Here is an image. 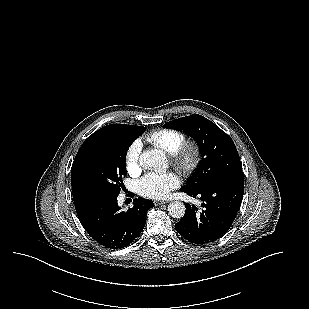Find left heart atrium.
<instances>
[{
	"mask_svg": "<svg viewBox=\"0 0 309 309\" xmlns=\"http://www.w3.org/2000/svg\"><path fill=\"white\" fill-rule=\"evenodd\" d=\"M180 185V178L174 172H150L138 182V192L147 198L162 199Z\"/></svg>",
	"mask_w": 309,
	"mask_h": 309,
	"instance_id": "1",
	"label": "left heart atrium"
}]
</instances>
